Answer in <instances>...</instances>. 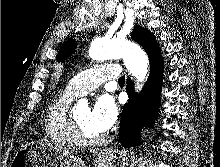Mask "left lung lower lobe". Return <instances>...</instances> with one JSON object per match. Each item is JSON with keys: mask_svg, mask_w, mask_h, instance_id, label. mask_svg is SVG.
Returning <instances> with one entry per match:
<instances>
[{"mask_svg": "<svg viewBox=\"0 0 220 167\" xmlns=\"http://www.w3.org/2000/svg\"><path fill=\"white\" fill-rule=\"evenodd\" d=\"M150 76L140 94L136 96L129 79L126 91L130 97L121 114L119 142L125 148L139 145V130L142 125L153 122L159 107V89L163 60L161 52L149 55Z\"/></svg>", "mask_w": 220, "mask_h": 167, "instance_id": "0a47b994", "label": "left lung lower lobe"}]
</instances>
